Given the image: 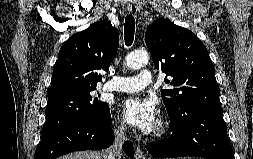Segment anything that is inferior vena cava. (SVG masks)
<instances>
[{
	"label": "inferior vena cava",
	"mask_w": 253,
	"mask_h": 159,
	"mask_svg": "<svg viewBox=\"0 0 253 159\" xmlns=\"http://www.w3.org/2000/svg\"><path fill=\"white\" fill-rule=\"evenodd\" d=\"M115 141L114 143L107 149L106 159H120L122 154V143L126 140L125 136V128L124 126L119 127L115 131Z\"/></svg>",
	"instance_id": "obj_1"
}]
</instances>
